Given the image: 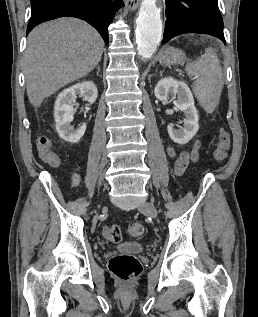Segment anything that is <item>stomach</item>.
Returning <instances> with one entry per match:
<instances>
[{
	"mask_svg": "<svg viewBox=\"0 0 258 317\" xmlns=\"http://www.w3.org/2000/svg\"><path fill=\"white\" fill-rule=\"evenodd\" d=\"M185 52L179 50V48H173V46H168L165 50H162L160 54L161 64H180L184 62Z\"/></svg>",
	"mask_w": 258,
	"mask_h": 317,
	"instance_id": "0dacf381",
	"label": "stomach"
}]
</instances>
